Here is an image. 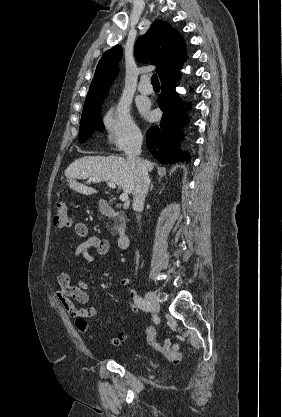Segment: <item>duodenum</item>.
Returning <instances> with one entry per match:
<instances>
[{
	"mask_svg": "<svg viewBox=\"0 0 282 417\" xmlns=\"http://www.w3.org/2000/svg\"><path fill=\"white\" fill-rule=\"evenodd\" d=\"M102 213L108 217H116L118 215L117 211L111 207L107 202H103ZM130 236L126 231H120L118 234V246L121 250H127L129 246Z\"/></svg>",
	"mask_w": 282,
	"mask_h": 417,
	"instance_id": "obj_1",
	"label": "duodenum"
}]
</instances>
